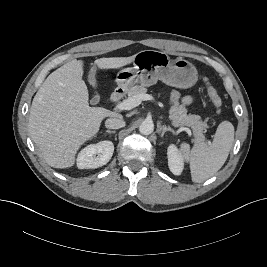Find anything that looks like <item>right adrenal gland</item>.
Instances as JSON below:
<instances>
[{
    "label": "right adrenal gland",
    "instance_id": "1",
    "mask_svg": "<svg viewBox=\"0 0 267 267\" xmlns=\"http://www.w3.org/2000/svg\"><path fill=\"white\" fill-rule=\"evenodd\" d=\"M106 133H109V134H115L116 131L106 130Z\"/></svg>",
    "mask_w": 267,
    "mask_h": 267
}]
</instances>
